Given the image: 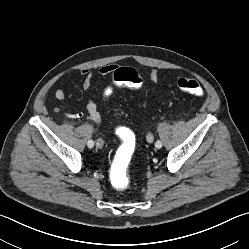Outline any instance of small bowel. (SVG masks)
I'll return each mask as SVG.
<instances>
[{"label": "small bowel", "mask_w": 249, "mask_h": 249, "mask_svg": "<svg viewBox=\"0 0 249 249\" xmlns=\"http://www.w3.org/2000/svg\"><path fill=\"white\" fill-rule=\"evenodd\" d=\"M117 65L115 64H107L102 66L98 73L100 76H110L113 75L115 70L117 69ZM79 75L82 78V87L85 91H90L92 88V71L88 68H83L79 70ZM149 79L153 84H157L159 80V73L156 69H152L149 73ZM112 92L110 86H106L102 89L101 95L102 97H108ZM55 98L58 101H65L66 93L63 89H57L55 91ZM86 113L88 118L96 125L103 124V117L98 109L97 103L93 99H88L86 103ZM70 118H78L79 115L68 114Z\"/></svg>", "instance_id": "obj_1"}]
</instances>
